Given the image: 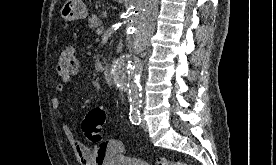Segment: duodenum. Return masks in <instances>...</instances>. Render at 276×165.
Masks as SVG:
<instances>
[{"label": "duodenum", "instance_id": "duodenum-1", "mask_svg": "<svg viewBox=\"0 0 276 165\" xmlns=\"http://www.w3.org/2000/svg\"><path fill=\"white\" fill-rule=\"evenodd\" d=\"M103 74H104V77L107 81H110L111 80V71H110V67L106 66L104 68V71H103Z\"/></svg>", "mask_w": 276, "mask_h": 165}]
</instances>
